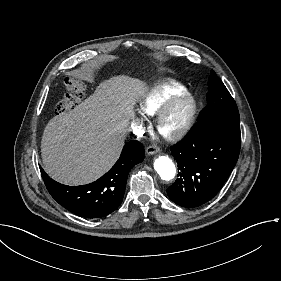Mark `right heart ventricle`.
Wrapping results in <instances>:
<instances>
[{
    "label": "right heart ventricle",
    "instance_id": "1",
    "mask_svg": "<svg viewBox=\"0 0 281 281\" xmlns=\"http://www.w3.org/2000/svg\"><path fill=\"white\" fill-rule=\"evenodd\" d=\"M185 86L177 81L162 83L154 89L143 93L134 100L137 110L145 115H154L169 99L184 92Z\"/></svg>",
    "mask_w": 281,
    "mask_h": 281
}]
</instances>
